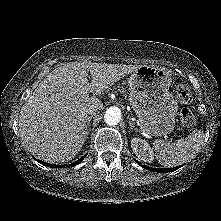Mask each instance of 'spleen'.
Segmentation results:
<instances>
[{"instance_id":"1","label":"spleen","mask_w":221,"mask_h":221,"mask_svg":"<svg viewBox=\"0 0 221 221\" xmlns=\"http://www.w3.org/2000/svg\"><path fill=\"white\" fill-rule=\"evenodd\" d=\"M204 137L203 131L196 130L187 138H181L173 143L164 140H155L153 147L156 152V158L161 165L166 167L185 163L196 155Z\"/></svg>"}]
</instances>
